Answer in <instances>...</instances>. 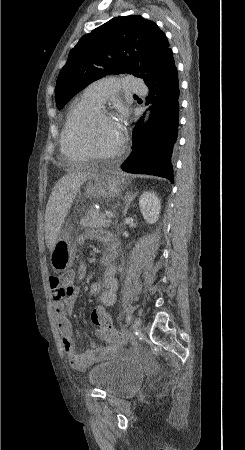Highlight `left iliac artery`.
<instances>
[{"mask_svg": "<svg viewBox=\"0 0 245 450\" xmlns=\"http://www.w3.org/2000/svg\"><path fill=\"white\" fill-rule=\"evenodd\" d=\"M127 322H128V324L132 323V317L130 315H128V317H127Z\"/></svg>", "mask_w": 245, "mask_h": 450, "instance_id": "left-iliac-artery-1", "label": "left iliac artery"}]
</instances>
